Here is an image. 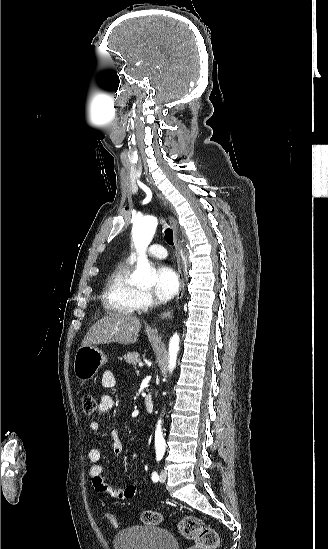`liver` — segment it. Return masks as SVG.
<instances>
[{"mask_svg": "<svg viewBox=\"0 0 328 549\" xmlns=\"http://www.w3.org/2000/svg\"><path fill=\"white\" fill-rule=\"evenodd\" d=\"M139 331H141V323L138 317L125 315V313H109L90 327L81 347L105 345V343L132 345L138 341Z\"/></svg>", "mask_w": 328, "mask_h": 549, "instance_id": "liver-1", "label": "liver"}]
</instances>
